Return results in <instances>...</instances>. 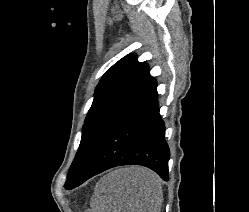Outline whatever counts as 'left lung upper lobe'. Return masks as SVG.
Segmentation results:
<instances>
[{"mask_svg": "<svg viewBox=\"0 0 249 212\" xmlns=\"http://www.w3.org/2000/svg\"><path fill=\"white\" fill-rule=\"evenodd\" d=\"M153 80L149 66L138 62L134 54L126 55L104 74L95 89L65 185L73 183L81 175L108 131Z\"/></svg>", "mask_w": 249, "mask_h": 212, "instance_id": "left-lung-upper-lobe-1", "label": "left lung upper lobe"}]
</instances>
